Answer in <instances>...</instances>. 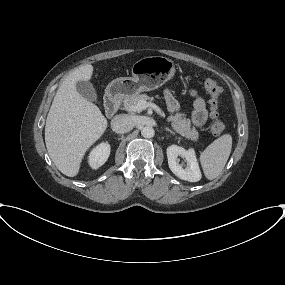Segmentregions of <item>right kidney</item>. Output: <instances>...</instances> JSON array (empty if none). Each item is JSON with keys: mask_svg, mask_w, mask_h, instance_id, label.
I'll return each instance as SVG.
<instances>
[{"mask_svg": "<svg viewBox=\"0 0 285 285\" xmlns=\"http://www.w3.org/2000/svg\"><path fill=\"white\" fill-rule=\"evenodd\" d=\"M110 150V145L105 142H102L93 148L88 157L90 167L92 169H98L101 167L107 161L110 155Z\"/></svg>", "mask_w": 285, "mask_h": 285, "instance_id": "1", "label": "right kidney"}]
</instances>
